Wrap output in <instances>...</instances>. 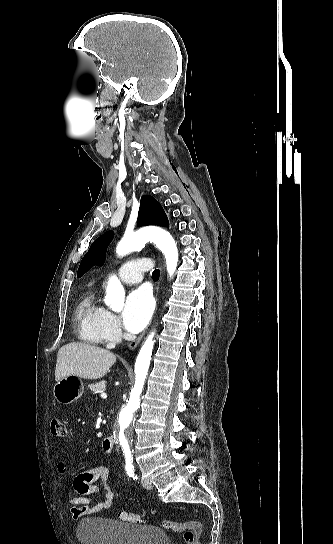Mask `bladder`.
Here are the masks:
<instances>
[{"label": "bladder", "mask_w": 333, "mask_h": 544, "mask_svg": "<svg viewBox=\"0 0 333 544\" xmlns=\"http://www.w3.org/2000/svg\"><path fill=\"white\" fill-rule=\"evenodd\" d=\"M76 536L81 544H170L169 536L150 525H131L111 519H82Z\"/></svg>", "instance_id": "31cf9c89"}]
</instances>
